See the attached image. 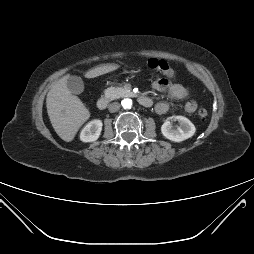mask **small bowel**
I'll return each instance as SVG.
<instances>
[{"label": "small bowel", "mask_w": 254, "mask_h": 254, "mask_svg": "<svg viewBox=\"0 0 254 254\" xmlns=\"http://www.w3.org/2000/svg\"><path fill=\"white\" fill-rule=\"evenodd\" d=\"M153 89L159 92H167L174 99H187L189 90L186 86L179 83H172L166 78H159L152 83ZM188 113H193L197 109V103L194 100H188L184 106ZM155 110L158 114H164L169 110V104L165 101L158 102L155 105Z\"/></svg>", "instance_id": "1"}]
</instances>
